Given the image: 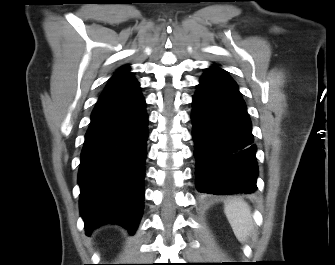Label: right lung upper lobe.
Instances as JSON below:
<instances>
[{"mask_svg": "<svg viewBox=\"0 0 335 265\" xmlns=\"http://www.w3.org/2000/svg\"><path fill=\"white\" fill-rule=\"evenodd\" d=\"M139 83L128 65L122 66L110 79L99 100L121 98L138 92Z\"/></svg>", "mask_w": 335, "mask_h": 265, "instance_id": "obj_1", "label": "right lung upper lobe"}]
</instances>
